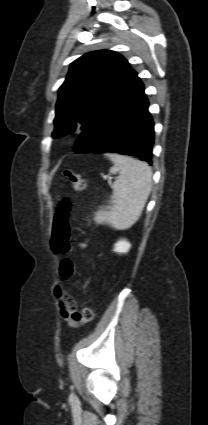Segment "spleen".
<instances>
[{"label": "spleen", "mask_w": 208, "mask_h": 425, "mask_svg": "<svg viewBox=\"0 0 208 425\" xmlns=\"http://www.w3.org/2000/svg\"><path fill=\"white\" fill-rule=\"evenodd\" d=\"M114 166L110 172L119 176L112 185L111 206L95 214L99 224H109L115 229L131 227L140 218L152 188V169L131 157L107 154Z\"/></svg>", "instance_id": "1"}]
</instances>
